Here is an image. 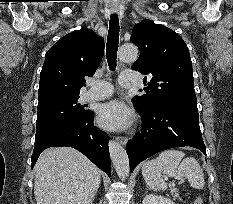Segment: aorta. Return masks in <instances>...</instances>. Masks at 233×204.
<instances>
[{"label":"aorta","mask_w":233,"mask_h":204,"mask_svg":"<svg viewBox=\"0 0 233 204\" xmlns=\"http://www.w3.org/2000/svg\"><path fill=\"white\" fill-rule=\"evenodd\" d=\"M118 57L123 62H134L138 58V48L133 44H124L119 48ZM111 160L118 176L124 180L129 175V159L123 146L115 141L109 142Z\"/></svg>","instance_id":"aorta-1"}]
</instances>
